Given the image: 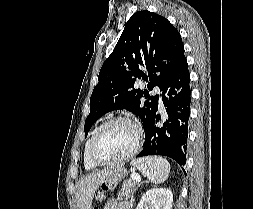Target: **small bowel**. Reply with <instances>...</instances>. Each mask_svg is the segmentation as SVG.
Masks as SVG:
<instances>
[{"label":"small bowel","instance_id":"1","mask_svg":"<svg viewBox=\"0 0 253 209\" xmlns=\"http://www.w3.org/2000/svg\"><path fill=\"white\" fill-rule=\"evenodd\" d=\"M103 209H129V206L125 202H117L115 200L109 201Z\"/></svg>","mask_w":253,"mask_h":209}]
</instances>
